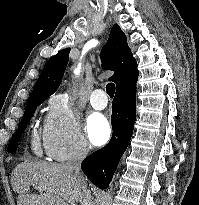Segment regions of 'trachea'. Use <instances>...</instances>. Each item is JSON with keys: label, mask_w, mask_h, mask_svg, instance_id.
<instances>
[{"label": "trachea", "mask_w": 199, "mask_h": 205, "mask_svg": "<svg viewBox=\"0 0 199 205\" xmlns=\"http://www.w3.org/2000/svg\"><path fill=\"white\" fill-rule=\"evenodd\" d=\"M106 92L111 98H113L115 93V85L113 83H108L106 86Z\"/></svg>", "instance_id": "trachea-1"}]
</instances>
